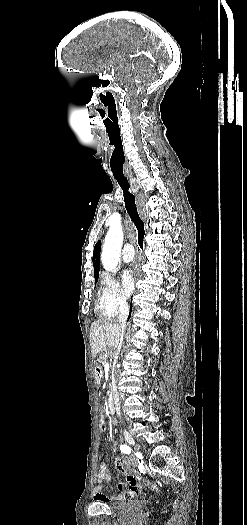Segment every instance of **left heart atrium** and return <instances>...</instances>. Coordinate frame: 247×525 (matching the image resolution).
Instances as JSON below:
<instances>
[{"instance_id":"obj_1","label":"left heart atrium","mask_w":247,"mask_h":525,"mask_svg":"<svg viewBox=\"0 0 247 525\" xmlns=\"http://www.w3.org/2000/svg\"><path fill=\"white\" fill-rule=\"evenodd\" d=\"M143 271L144 258L142 253L137 251L128 269L123 272V283L127 292H130L133 289L135 282L142 278Z\"/></svg>"}]
</instances>
